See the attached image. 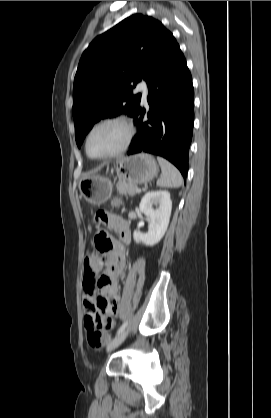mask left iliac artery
Segmentation results:
<instances>
[{
  "label": "left iliac artery",
  "mask_w": 271,
  "mask_h": 418,
  "mask_svg": "<svg viewBox=\"0 0 271 418\" xmlns=\"http://www.w3.org/2000/svg\"><path fill=\"white\" fill-rule=\"evenodd\" d=\"M127 325H128V321L124 322V323L120 326V328L117 330L116 335L121 334V333L125 330V328L127 327Z\"/></svg>",
  "instance_id": "44dca946"
}]
</instances>
